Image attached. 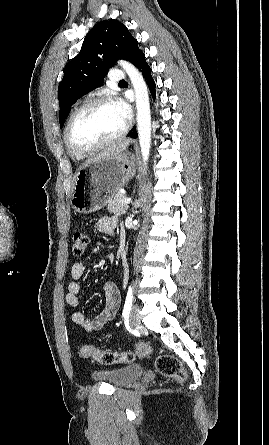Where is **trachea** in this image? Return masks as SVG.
I'll return each instance as SVG.
<instances>
[{
    "label": "trachea",
    "instance_id": "1",
    "mask_svg": "<svg viewBox=\"0 0 269 445\" xmlns=\"http://www.w3.org/2000/svg\"><path fill=\"white\" fill-rule=\"evenodd\" d=\"M119 83H125V80L120 81Z\"/></svg>",
    "mask_w": 269,
    "mask_h": 445
}]
</instances>
